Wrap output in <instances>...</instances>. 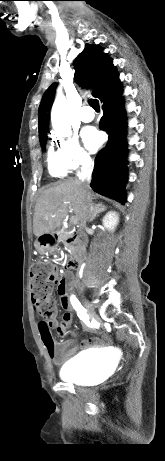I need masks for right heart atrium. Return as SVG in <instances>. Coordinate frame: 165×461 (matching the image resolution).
Instances as JSON below:
<instances>
[{
    "instance_id": "d8ad5b80",
    "label": "right heart atrium",
    "mask_w": 165,
    "mask_h": 461,
    "mask_svg": "<svg viewBox=\"0 0 165 461\" xmlns=\"http://www.w3.org/2000/svg\"><path fill=\"white\" fill-rule=\"evenodd\" d=\"M55 141L58 145L59 161L66 170L73 171L91 165V155L76 138L56 137Z\"/></svg>"
}]
</instances>
